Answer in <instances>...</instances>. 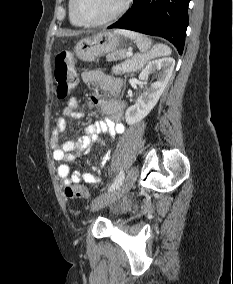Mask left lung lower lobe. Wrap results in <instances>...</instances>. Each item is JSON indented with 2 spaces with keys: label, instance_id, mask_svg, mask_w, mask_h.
I'll list each match as a JSON object with an SVG mask.
<instances>
[{
  "label": "left lung lower lobe",
  "instance_id": "obj_1",
  "mask_svg": "<svg viewBox=\"0 0 233 284\" xmlns=\"http://www.w3.org/2000/svg\"><path fill=\"white\" fill-rule=\"evenodd\" d=\"M190 0H134L131 9L109 28L129 29L169 40L182 54Z\"/></svg>",
  "mask_w": 233,
  "mask_h": 284
}]
</instances>
